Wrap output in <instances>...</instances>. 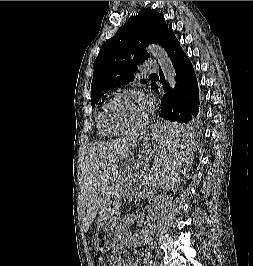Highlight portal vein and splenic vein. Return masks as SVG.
<instances>
[{
  "label": "portal vein and splenic vein",
  "instance_id": "18ae733b",
  "mask_svg": "<svg viewBox=\"0 0 253 266\" xmlns=\"http://www.w3.org/2000/svg\"><path fill=\"white\" fill-rule=\"evenodd\" d=\"M149 186V185H148ZM149 190V188L148 187H146V190H142V192H140V194H142V193H146L147 194V191Z\"/></svg>",
  "mask_w": 253,
  "mask_h": 266
}]
</instances>
